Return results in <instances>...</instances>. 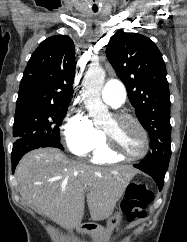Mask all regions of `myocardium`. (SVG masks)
<instances>
[{
	"mask_svg": "<svg viewBox=\"0 0 187 242\" xmlns=\"http://www.w3.org/2000/svg\"><path fill=\"white\" fill-rule=\"evenodd\" d=\"M112 118L116 122H130V123L134 124L143 136L144 148L140 154H137V155L128 154V153L124 152L123 150H121L119 147H117L116 144L111 139V137L105 131H103L106 150L110 154H112L116 157L122 158V159H126V160H139V159L144 158L150 150V139H149L147 130L141 124V122L137 118H135L133 115H131L129 113H125V112H116L112 115Z\"/></svg>",
	"mask_w": 187,
	"mask_h": 242,
	"instance_id": "obj_1",
	"label": "myocardium"
}]
</instances>
